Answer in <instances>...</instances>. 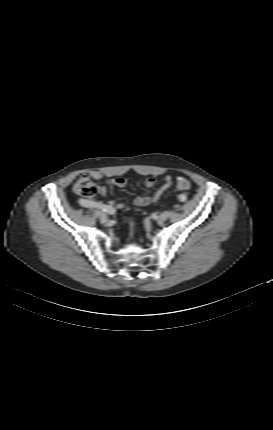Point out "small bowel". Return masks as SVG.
Segmentation results:
<instances>
[{"label":"small bowel","instance_id":"1","mask_svg":"<svg viewBox=\"0 0 273 430\" xmlns=\"http://www.w3.org/2000/svg\"><path fill=\"white\" fill-rule=\"evenodd\" d=\"M89 175L95 180L101 179L103 176L102 173L99 171H91V172H89ZM182 180L188 181L187 179L182 178V177H178L176 179V181H174V179L170 175H167L164 178L163 184L153 194L144 195V196H137L133 202L136 206H146L149 204L158 203L161 199V196L163 195V193L166 190H168L174 183H176V185H177ZM155 182L156 181L154 178H148L145 181V186L147 188H152L155 185ZM109 183L111 185H114V186L119 187V188H124L127 184V182L124 178L110 179ZM99 194L104 196L106 194V188L100 187L99 188ZM78 202L82 207H85V208H94L95 206L104 205L103 203H101L99 201H95V200H91V199H79ZM108 206H110L114 209H118V210L125 208V204L123 202L110 201Z\"/></svg>","mask_w":273,"mask_h":430}]
</instances>
